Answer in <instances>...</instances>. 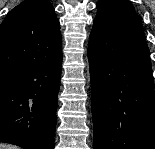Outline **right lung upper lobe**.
<instances>
[{"mask_svg": "<svg viewBox=\"0 0 155 149\" xmlns=\"http://www.w3.org/2000/svg\"><path fill=\"white\" fill-rule=\"evenodd\" d=\"M60 24L47 0H25L0 25V74H18L62 55Z\"/></svg>", "mask_w": 155, "mask_h": 149, "instance_id": "1", "label": "right lung upper lobe"}]
</instances>
